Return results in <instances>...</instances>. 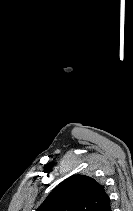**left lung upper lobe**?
Masks as SVG:
<instances>
[{
	"instance_id": "1",
	"label": "left lung upper lobe",
	"mask_w": 133,
	"mask_h": 211,
	"mask_svg": "<svg viewBox=\"0 0 133 211\" xmlns=\"http://www.w3.org/2000/svg\"><path fill=\"white\" fill-rule=\"evenodd\" d=\"M108 198L95 179L73 175L60 183L37 211H96Z\"/></svg>"
}]
</instances>
